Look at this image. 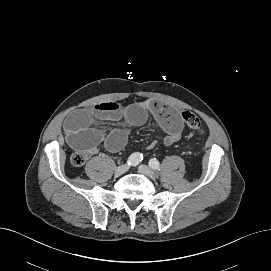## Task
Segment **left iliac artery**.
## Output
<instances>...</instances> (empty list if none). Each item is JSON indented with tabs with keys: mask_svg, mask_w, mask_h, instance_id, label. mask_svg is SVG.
Instances as JSON below:
<instances>
[{
	"mask_svg": "<svg viewBox=\"0 0 271 271\" xmlns=\"http://www.w3.org/2000/svg\"><path fill=\"white\" fill-rule=\"evenodd\" d=\"M149 166L153 169V170H159L160 169V164L159 161L154 159H150L149 161Z\"/></svg>",
	"mask_w": 271,
	"mask_h": 271,
	"instance_id": "obj_1",
	"label": "left iliac artery"
}]
</instances>
